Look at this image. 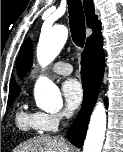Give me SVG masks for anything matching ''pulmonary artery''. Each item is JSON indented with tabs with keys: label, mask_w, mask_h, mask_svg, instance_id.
<instances>
[{
	"label": "pulmonary artery",
	"mask_w": 123,
	"mask_h": 152,
	"mask_svg": "<svg viewBox=\"0 0 123 152\" xmlns=\"http://www.w3.org/2000/svg\"><path fill=\"white\" fill-rule=\"evenodd\" d=\"M50 71L60 75H69L72 73L73 68L67 62L57 61L51 66Z\"/></svg>",
	"instance_id": "pulmonary-artery-1"
}]
</instances>
